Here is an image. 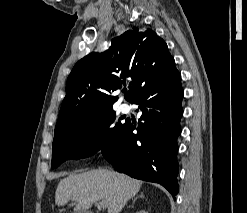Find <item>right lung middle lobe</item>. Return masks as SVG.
Wrapping results in <instances>:
<instances>
[{
	"instance_id": "obj_1",
	"label": "right lung middle lobe",
	"mask_w": 247,
	"mask_h": 213,
	"mask_svg": "<svg viewBox=\"0 0 247 213\" xmlns=\"http://www.w3.org/2000/svg\"><path fill=\"white\" fill-rule=\"evenodd\" d=\"M116 115L110 109L100 113L90 122L54 136L52 168L68 159L89 157L99 150L105 152L117 142L124 127L121 122L113 125Z\"/></svg>"
}]
</instances>
